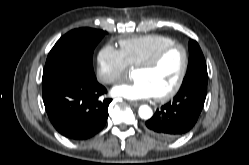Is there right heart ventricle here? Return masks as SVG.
<instances>
[{
    "label": "right heart ventricle",
    "instance_id": "1",
    "mask_svg": "<svg viewBox=\"0 0 249 165\" xmlns=\"http://www.w3.org/2000/svg\"><path fill=\"white\" fill-rule=\"evenodd\" d=\"M175 43L174 40L162 34H146L119 42L120 51L130 67L152 58L163 47Z\"/></svg>",
    "mask_w": 249,
    "mask_h": 165
}]
</instances>
